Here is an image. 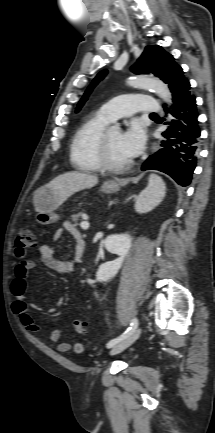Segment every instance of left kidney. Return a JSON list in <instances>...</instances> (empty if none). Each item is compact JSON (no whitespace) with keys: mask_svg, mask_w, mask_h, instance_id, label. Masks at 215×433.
<instances>
[{"mask_svg":"<svg viewBox=\"0 0 215 433\" xmlns=\"http://www.w3.org/2000/svg\"><path fill=\"white\" fill-rule=\"evenodd\" d=\"M132 245V237L128 234L110 235L105 240V248L108 252L117 254L119 257L113 261L101 264L96 274V280L106 282L113 278L121 268L125 257Z\"/></svg>","mask_w":215,"mask_h":433,"instance_id":"obj_1","label":"left kidney"}]
</instances>
